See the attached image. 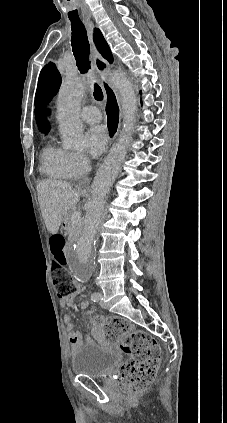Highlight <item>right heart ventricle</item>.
I'll use <instances>...</instances> for the list:
<instances>
[{"instance_id": "1", "label": "right heart ventricle", "mask_w": 227, "mask_h": 423, "mask_svg": "<svg viewBox=\"0 0 227 423\" xmlns=\"http://www.w3.org/2000/svg\"><path fill=\"white\" fill-rule=\"evenodd\" d=\"M66 153L65 149L57 148L52 144L46 145L42 151L41 173L52 178H67L64 169Z\"/></svg>"}]
</instances>
